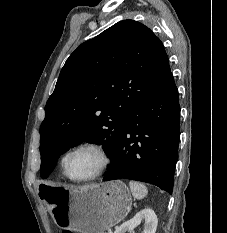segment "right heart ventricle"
<instances>
[{"label": "right heart ventricle", "mask_w": 227, "mask_h": 233, "mask_svg": "<svg viewBox=\"0 0 227 233\" xmlns=\"http://www.w3.org/2000/svg\"><path fill=\"white\" fill-rule=\"evenodd\" d=\"M65 156H66V154H65V155L62 157V159H61V167H62V170H63V164H64ZM63 173H64V171H63Z\"/></svg>", "instance_id": "e07e8e85"}]
</instances>
